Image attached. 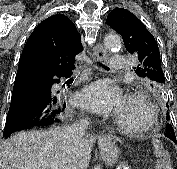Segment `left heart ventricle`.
Here are the masks:
<instances>
[{"label":"left heart ventricle","instance_id":"b2bd125f","mask_svg":"<svg viewBox=\"0 0 177 169\" xmlns=\"http://www.w3.org/2000/svg\"><path fill=\"white\" fill-rule=\"evenodd\" d=\"M117 116L124 122L130 125H137L142 123L146 118L145 111L137 104L126 102Z\"/></svg>","mask_w":177,"mask_h":169}]
</instances>
